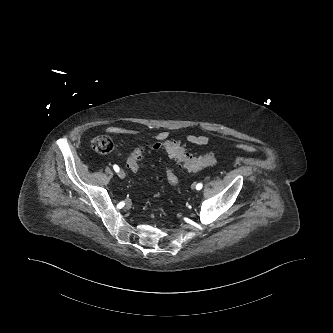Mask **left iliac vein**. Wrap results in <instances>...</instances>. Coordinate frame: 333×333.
Listing matches in <instances>:
<instances>
[{
  "label": "left iliac vein",
  "instance_id": "4c4485c4",
  "mask_svg": "<svg viewBox=\"0 0 333 333\" xmlns=\"http://www.w3.org/2000/svg\"><path fill=\"white\" fill-rule=\"evenodd\" d=\"M191 187H192V189H194V188H195V183H194V184H192V186H191Z\"/></svg>",
  "mask_w": 333,
  "mask_h": 333
}]
</instances>
